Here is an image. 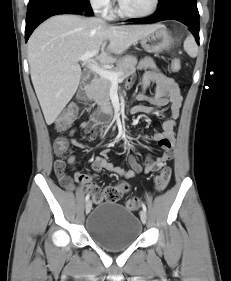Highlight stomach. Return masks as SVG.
Masks as SVG:
<instances>
[{"label":"stomach","mask_w":231,"mask_h":281,"mask_svg":"<svg viewBox=\"0 0 231 281\" xmlns=\"http://www.w3.org/2000/svg\"><path fill=\"white\" fill-rule=\"evenodd\" d=\"M140 43L146 51L160 53L171 47L173 39L166 27L162 26L142 37Z\"/></svg>","instance_id":"1"}]
</instances>
